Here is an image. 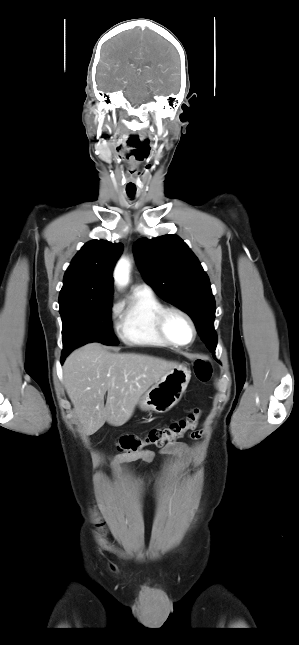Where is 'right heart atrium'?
<instances>
[{"instance_id": "1", "label": "right heart atrium", "mask_w": 299, "mask_h": 645, "mask_svg": "<svg viewBox=\"0 0 299 645\" xmlns=\"http://www.w3.org/2000/svg\"><path fill=\"white\" fill-rule=\"evenodd\" d=\"M118 308H119L118 304L114 303V304L111 306V311H112L113 313H114V312H117V311H118Z\"/></svg>"}]
</instances>
